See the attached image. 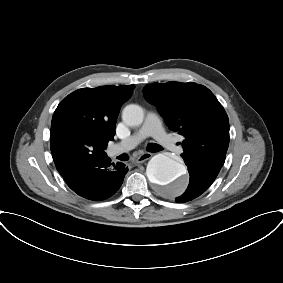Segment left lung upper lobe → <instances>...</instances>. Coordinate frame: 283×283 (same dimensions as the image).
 I'll list each match as a JSON object with an SVG mask.
<instances>
[{"label": "left lung upper lobe", "instance_id": "5c2ea615", "mask_svg": "<svg viewBox=\"0 0 283 283\" xmlns=\"http://www.w3.org/2000/svg\"><path fill=\"white\" fill-rule=\"evenodd\" d=\"M144 95L170 129L184 136L185 164L217 176L229 145V120L213 93L196 83L167 82L146 86Z\"/></svg>", "mask_w": 283, "mask_h": 283}]
</instances>
